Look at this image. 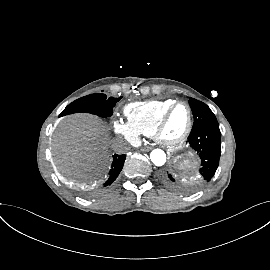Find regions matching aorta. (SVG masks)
<instances>
[{
  "instance_id": "1",
  "label": "aorta",
  "mask_w": 270,
  "mask_h": 270,
  "mask_svg": "<svg viewBox=\"0 0 270 270\" xmlns=\"http://www.w3.org/2000/svg\"><path fill=\"white\" fill-rule=\"evenodd\" d=\"M150 159L156 166H163L166 162V154L161 149H154L150 153Z\"/></svg>"
}]
</instances>
